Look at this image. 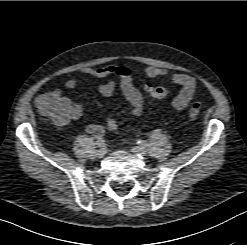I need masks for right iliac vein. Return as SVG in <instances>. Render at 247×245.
<instances>
[{"mask_svg": "<svg viewBox=\"0 0 247 245\" xmlns=\"http://www.w3.org/2000/svg\"><path fill=\"white\" fill-rule=\"evenodd\" d=\"M104 155H105L104 149H98V150L96 151V157L102 158Z\"/></svg>", "mask_w": 247, "mask_h": 245, "instance_id": "1", "label": "right iliac vein"}]
</instances>
